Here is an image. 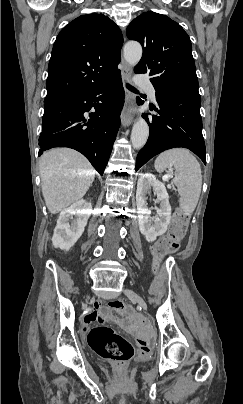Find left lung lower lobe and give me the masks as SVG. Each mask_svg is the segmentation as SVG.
I'll return each instance as SVG.
<instances>
[{"label": "left lung lower lobe", "mask_w": 243, "mask_h": 404, "mask_svg": "<svg viewBox=\"0 0 243 404\" xmlns=\"http://www.w3.org/2000/svg\"><path fill=\"white\" fill-rule=\"evenodd\" d=\"M160 116L148 118L149 138L136 159V170L153 156L174 147L188 148L206 164V150L200 115L201 97L197 93L156 90Z\"/></svg>", "instance_id": "1"}]
</instances>
